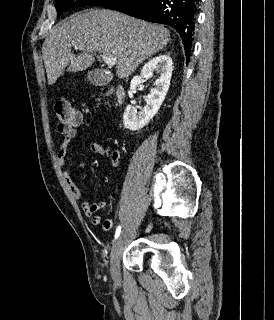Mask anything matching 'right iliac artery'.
<instances>
[{"label": "right iliac artery", "mask_w": 274, "mask_h": 320, "mask_svg": "<svg viewBox=\"0 0 274 320\" xmlns=\"http://www.w3.org/2000/svg\"><path fill=\"white\" fill-rule=\"evenodd\" d=\"M120 232H121V226H118L116 229V232H115V239H117L119 237Z\"/></svg>", "instance_id": "1"}]
</instances>
